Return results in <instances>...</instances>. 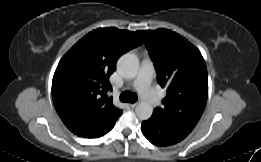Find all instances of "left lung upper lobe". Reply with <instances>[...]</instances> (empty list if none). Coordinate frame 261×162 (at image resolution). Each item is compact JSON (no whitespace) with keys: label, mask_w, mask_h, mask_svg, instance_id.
<instances>
[{"label":"left lung upper lobe","mask_w":261,"mask_h":162,"mask_svg":"<svg viewBox=\"0 0 261 162\" xmlns=\"http://www.w3.org/2000/svg\"><path fill=\"white\" fill-rule=\"evenodd\" d=\"M154 62L158 83L167 89L163 107L154 109L160 119L192 131L208 97V77L200 51L181 35L167 30L137 32Z\"/></svg>","instance_id":"1"}]
</instances>
